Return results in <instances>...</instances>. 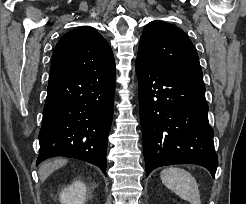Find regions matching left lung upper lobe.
Wrapping results in <instances>:
<instances>
[{"label": "left lung upper lobe", "mask_w": 246, "mask_h": 204, "mask_svg": "<svg viewBox=\"0 0 246 204\" xmlns=\"http://www.w3.org/2000/svg\"><path fill=\"white\" fill-rule=\"evenodd\" d=\"M137 61L156 69L202 78L191 40L178 27L162 21H152L144 27Z\"/></svg>", "instance_id": "5c2ea615"}]
</instances>
